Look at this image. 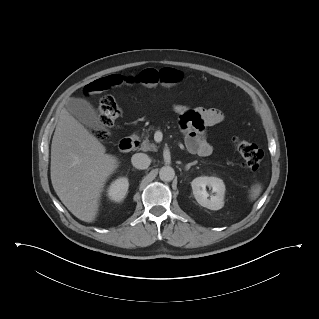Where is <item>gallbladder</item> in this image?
<instances>
[{
    "label": "gallbladder",
    "mask_w": 319,
    "mask_h": 319,
    "mask_svg": "<svg viewBox=\"0 0 319 319\" xmlns=\"http://www.w3.org/2000/svg\"><path fill=\"white\" fill-rule=\"evenodd\" d=\"M66 106L68 110L89 129H105L98 117L97 111L88 101L80 98H69Z\"/></svg>",
    "instance_id": "bac80fb5"
}]
</instances>
